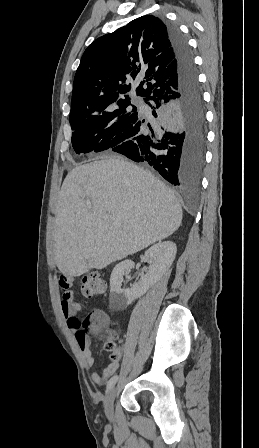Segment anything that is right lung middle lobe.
<instances>
[{
  "instance_id": "right-lung-middle-lobe-1",
  "label": "right lung middle lobe",
  "mask_w": 259,
  "mask_h": 448,
  "mask_svg": "<svg viewBox=\"0 0 259 448\" xmlns=\"http://www.w3.org/2000/svg\"><path fill=\"white\" fill-rule=\"evenodd\" d=\"M138 116L137 107L130 105L70 114L73 149L76 153H88L115 147Z\"/></svg>"
}]
</instances>
